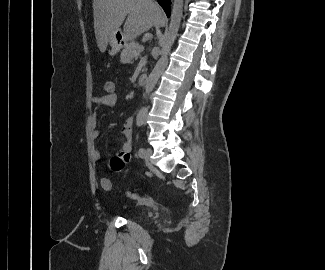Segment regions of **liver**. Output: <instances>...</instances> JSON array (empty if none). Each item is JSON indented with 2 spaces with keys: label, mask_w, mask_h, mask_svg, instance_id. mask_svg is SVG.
<instances>
[{
  "label": "liver",
  "mask_w": 325,
  "mask_h": 270,
  "mask_svg": "<svg viewBox=\"0 0 325 270\" xmlns=\"http://www.w3.org/2000/svg\"><path fill=\"white\" fill-rule=\"evenodd\" d=\"M93 15L97 45L102 53L126 16L123 34L127 40L164 24V14L152 0H93Z\"/></svg>",
  "instance_id": "liver-1"
}]
</instances>
